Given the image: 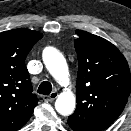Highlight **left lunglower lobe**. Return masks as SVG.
<instances>
[{
	"mask_svg": "<svg viewBox=\"0 0 131 131\" xmlns=\"http://www.w3.org/2000/svg\"><path fill=\"white\" fill-rule=\"evenodd\" d=\"M68 124L74 131H86L83 127H81L79 124H77L74 121L68 120Z\"/></svg>",
	"mask_w": 131,
	"mask_h": 131,
	"instance_id": "left-lung-lower-lobe-1",
	"label": "left lung lower lobe"
}]
</instances>
